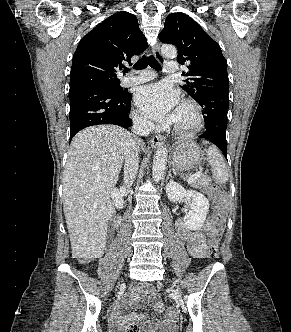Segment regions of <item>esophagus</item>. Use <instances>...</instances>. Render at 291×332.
Here are the masks:
<instances>
[{
	"mask_svg": "<svg viewBox=\"0 0 291 332\" xmlns=\"http://www.w3.org/2000/svg\"><path fill=\"white\" fill-rule=\"evenodd\" d=\"M153 54L155 56V58L160 62V63H164L165 62V59L163 57V55L161 54L160 52V45L159 43H156L154 46H153ZM164 137L161 136V135H154L151 137V146L152 147H156V146H159L160 144L164 143Z\"/></svg>",
	"mask_w": 291,
	"mask_h": 332,
	"instance_id": "obj_1",
	"label": "esophagus"
}]
</instances>
